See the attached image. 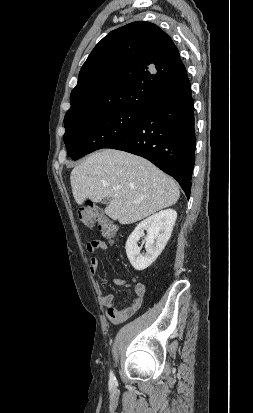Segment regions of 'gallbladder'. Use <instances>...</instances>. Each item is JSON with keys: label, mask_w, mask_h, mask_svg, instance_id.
Segmentation results:
<instances>
[{"label": "gallbladder", "mask_w": 253, "mask_h": 413, "mask_svg": "<svg viewBox=\"0 0 253 413\" xmlns=\"http://www.w3.org/2000/svg\"><path fill=\"white\" fill-rule=\"evenodd\" d=\"M108 202H109V200H108V199L103 200V203H104V204H106V203H108Z\"/></svg>", "instance_id": "obj_1"}]
</instances>
